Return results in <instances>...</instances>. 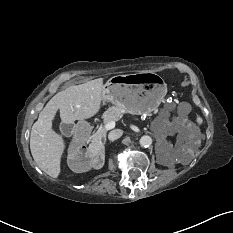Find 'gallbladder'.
<instances>
[{
	"mask_svg": "<svg viewBox=\"0 0 233 233\" xmlns=\"http://www.w3.org/2000/svg\"><path fill=\"white\" fill-rule=\"evenodd\" d=\"M60 130L64 135L69 136L73 132V126L71 124L61 123Z\"/></svg>",
	"mask_w": 233,
	"mask_h": 233,
	"instance_id": "obj_1",
	"label": "gallbladder"
}]
</instances>
